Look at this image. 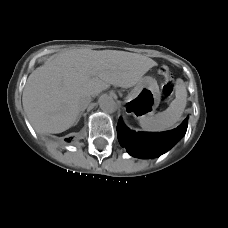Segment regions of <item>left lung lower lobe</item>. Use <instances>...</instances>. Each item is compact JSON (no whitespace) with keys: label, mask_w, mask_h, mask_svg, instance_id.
Listing matches in <instances>:
<instances>
[{"label":"left lung lower lobe","mask_w":228,"mask_h":228,"mask_svg":"<svg viewBox=\"0 0 228 228\" xmlns=\"http://www.w3.org/2000/svg\"><path fill=\"white\" fill-rule=\"evenodd\" d=\"M188 118L176 128L167 132L146 133L130 131L119 119L117 124V136L121 146L127 152L139 158L158 157L170 150L186 133Z\"/></svg>","instance_id":"obj_1"}]
</instances>
